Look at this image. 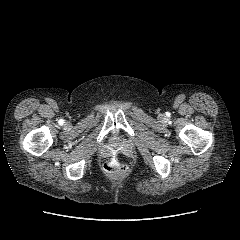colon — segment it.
<instances>
[{
	"mask_svg": "<svg viewBox=\"0 0 240 240\" xmlns=\"http://www.w3.org/2000/svg\"><path fill=\"white\" fill-rule=\"evenodd\" d=\"M126 161L117 153H114L103 165V170L107 174H117L125 171Z\"/></svg>",
	"mask_w": 240,
	"mask_h": 240,
	"instance_id": "1",
	"label": "colon"
}]
</instances>
